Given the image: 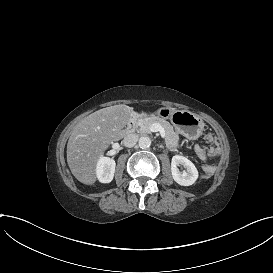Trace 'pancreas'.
<instances>
[{"instance_id":"cf45deb5","label":"pancreas","mask_w":273,"mask_h":273,"mask_svg":"<svg viewBox=\"0 0 273 273\" xmlns=\"http://www.w3.org/2000/svg\"><path fill=\"white\" fill-rule=\"evenodd\" d=\"M154 123H159L165 130V143L166 147L174 151L178 146L179 135L174 131L173 126L166 120L159 118L155 115H151L149 117H141L137 121V132L141 134H149L151 133V126Z\"/></svg>"}]
</instances>
